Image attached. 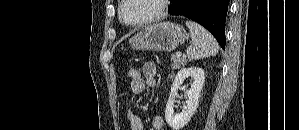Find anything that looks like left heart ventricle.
I'll list each match as a JSON object with an SVG mask.
<instances>
[{
    "instance_id": "left-heart-ventricle-1",
    "label": "left heart ventricle",
    "mask_w": 299,
    "mask_h": 130,
    "mask_svg": "<svg viewBox=\"0 0 299 130\" xmlns=\"http://www.w3.org/2000/svg\"><path fill=\"white\" fill-rule=\"evenodd\" d=\"M157 2L154 0H134L123 9V18L127 22H135L156 12Z\"/></svg>"
}]
</instances>
